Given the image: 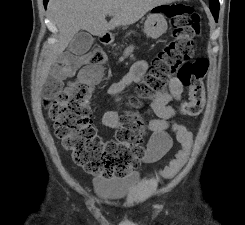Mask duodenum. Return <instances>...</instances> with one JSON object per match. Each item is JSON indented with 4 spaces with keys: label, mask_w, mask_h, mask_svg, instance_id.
<instances>
[{
    "label": "duodenum",
    "mask_w": 245,
    "mask_h": 225,
    "mask_svg": "<svg viewBox=\"0 0 245 225\" xmlns=\"http://www.w3.org/2000/svg\"><path fill=\"white\" fill-rule=\"evenodd\" d=\"M98 40L100 43L102 44H107L110 42L111 40V36L109 33H103V34H100L99 37H98Z\"/></svg>",
    "instance_id": "duodenum-1"
}]
</instances>
